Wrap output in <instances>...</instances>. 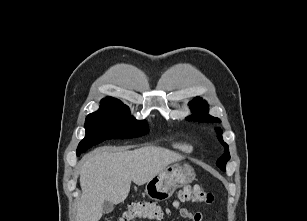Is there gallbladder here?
<instances>
[{
	"mask_svg": "<svg viewBox=\"0 0 307 221\" xmlns=\"http://www.w3.org/2000/svg\"><path fill=\"white\" fill-rule=\"evenodd\" d=\"M114 210V205L109 202V201H105L102 205V211L104 214H109Z\"/></svg>",
	"mask_w": 307,
	"mask_h": 221,
	"instance_id": "obj_1",
	"label": "gallbladder"
}]
</instances>
